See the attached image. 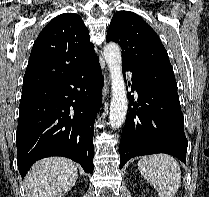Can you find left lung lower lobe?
<instances>
[{
    "mask_svg": "<svg viewBox=\"0 0 209 197\" xmlns=\"http://www.w3.org/2000/svg\"><path fill=\"white\" fill-rule=\"evenodd\" d=\"M123 70L132 72V91H137L138 101L128 96L131 104L120 140V169L132 157L154 153H167L186 163L188 141L176 81L147 78L125 65Z\"/></svg>",
    "mask_w": 209,
    "mask_h": 197,
    "instance_id": "left-lung-lower-lobe-1",
    "label": "left lung lower lobe"
}]
</instances>
